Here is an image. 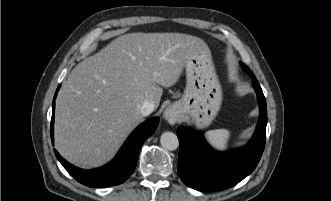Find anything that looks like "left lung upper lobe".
<instances>
[{"label":"left lung upper lobe","instance_id":"5c2ea615","mask_svg":"<svg viewBox=\"0 0 331 201\" xmlns=\"http://www.w3.org/2000/svg\"><path fill=\"white\" fill-rule=\"evenodd\" d=\"M241 65H242V68H243V66H244L245 64L242 63ZM243 69H244L245 71H247L249 75H251V76L253 75L252 71H251L249 68H243Z\"/></svg>","mask_w":331,"mask_h":201}]
</instances>
